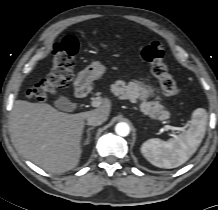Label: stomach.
I'll return each mask as SVG.
<instances>
[{"mask_svg":"<svg viewBox=\"0 0 218 210\" xmlns=\"http://www.w3.org/2000/svg\"><path fill=\"white\" fill-rule=\"evenodd\" d=\"M106 72V67L99 61L92 62L82 70L74 81L76 91L89 87L94 80L99 79Z\"/></svg>","mask_w":218,"mask_h":210,"instance_id":"stomach-1","label":"stomach"}]
</instances>
